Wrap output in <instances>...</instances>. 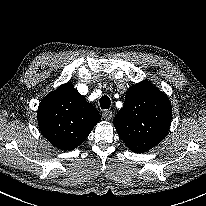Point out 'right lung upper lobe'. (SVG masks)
<instances>
[{"label":"right lung upper lobe","instance_id":"cb5924a9","mask_svg":"<svg viewBox=\"0 0 206 206\" xmlns=\"http://www.w3.org/2000/svg\"><path fill=\"white\" fill-rule=\"evenodd\" d=\"M37 117L43 136L68 151L85 141L101 118L70 83L59 86L42 100Z\"/></svg>","mask_w":206,"mask_h":206}]
</instances>
